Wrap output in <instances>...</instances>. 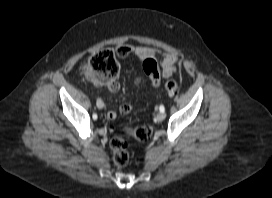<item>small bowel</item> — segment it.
<instances>
[{"label": "small bowel", "instance_id": "c3829d8e", "mask_svg": "<svg viewBox=\"0 0 272 198\" xmlns=\"http://www.w3.org/2000/svg\"><path fill=\"white\" fill-rule=\"evenodd\" d=\"M118 55L120 57H126L133 53L139 60L154 58L158 53L157 50L145 46L131 47L129 45H122L117 48ZM178 62V56L173 53H164L160 61V69L158 68L157 74L150 75V80L153 88H157L160 85L161 78H168L176 72V64ZM107 89L110 92H117L120 89V83L117 80L112 81L107 85ZM99 106L103 107L104 103L101 100L97 101ZM133 105L130 102H124L121 104L119 110L122 114H128L132 111ZM108 120H114L117 117L115 111H109L106 115Z\"/></svg>", "mask_w": 272, "mask_h": 198}]
</instances>
